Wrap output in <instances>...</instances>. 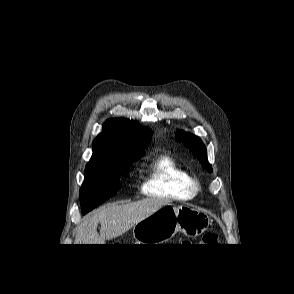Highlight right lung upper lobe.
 I'll list each match as a JSON object with an SVG mask.
<instances>
[{"label":"right lung upper lobe","instance_id":"1","mask_svg":"<svg viewBox=\"0 0 294 294\" xmlns=\"http://www.w3.org/2000/svg\"><path fill=\"white\" fill-rule=\"evenodd\" d=\"M152 134L136 122L127 119H109L103 132L93 141L92 156L142 157Z\"/></svg>","mask_w":294,"mask_h":294}]
</instances>
